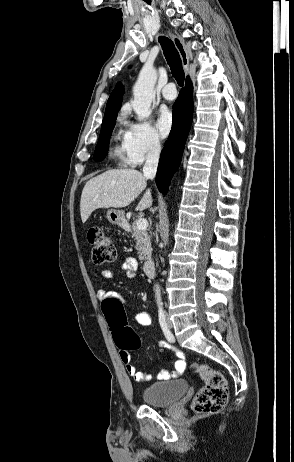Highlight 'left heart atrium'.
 <instances>
[{"label": "left heart atrium", "instance_id": "39dd6f15", "mask_svg": "<svg viewBox=\"0 0 294 462\" xmlns=\"http://www.w3.org/2000/svg\"><path fill=\"white\" fill-rule=\"evenodd\" d=\"M156 127L162 137H166L173 127V116L168 110H162L156 121Z\"/></svg>", "mask_w": 294, "mask_h": 462}]
</instances>
